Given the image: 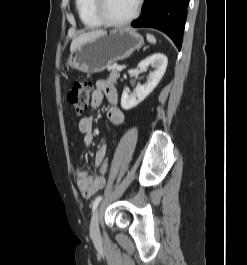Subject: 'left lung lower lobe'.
<instances>
[{
	"label": "left lung lower lobe",
	"instance_id": "left-lung-lower-lobe-1",
	"mask_svg": "<svg viewBox=\"0 0 247 265\" xmlns=\"http://www.w3.org/2000/svg\"><path fill=\"white\" fill-rule=\"evenodd\" d=\"M189 0H145L133 27H152L166 33L180 50Z\"/></svg>",
	"mask_w": 247,
	"mask_h": 265
}]
</instances>
